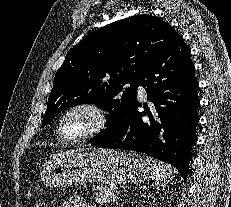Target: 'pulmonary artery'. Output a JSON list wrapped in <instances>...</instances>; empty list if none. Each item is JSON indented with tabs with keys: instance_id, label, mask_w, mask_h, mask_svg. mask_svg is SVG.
<instances>
[{
	"instance_id": "e3ab8cb5",
	"label": "pulmonary artery",
	"mask_w": 231,
	"mask_h": 207,
	"mask_svg": "<svg viewBox=\"0 0 231 207\" xmlns=\"http://www.w3.org/2000/svg\"><path fill=\"white\" fill-rule=\"evenodd\" d=\"M138 88H139V90H140L141 94H142V95H144V90L142 89V87H141V86H139Z\"/></svg>"
}]
</instances>
